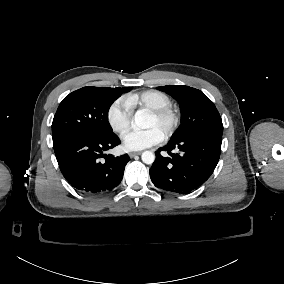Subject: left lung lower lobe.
<instances>
[{"label":"left lung lower lobe","mask_w":284,"mask_h":284,"mask_svg":"<svg viewBox=\"0 0 284 284\" xmlns=\"http://www.w3.org/2000/svg\"><path fill=\"white\" fill-rule=\"evenodd\" d=\"M221 142L222 135L208 132L170 139L156 152L157 158L150 168L153 184L178 194L196 189L213 173L219 161ZM163 150L170 157L161 156Z\"/></svg>","instance_id":"left-lung-lower-lobe-1"}]
</instances>
